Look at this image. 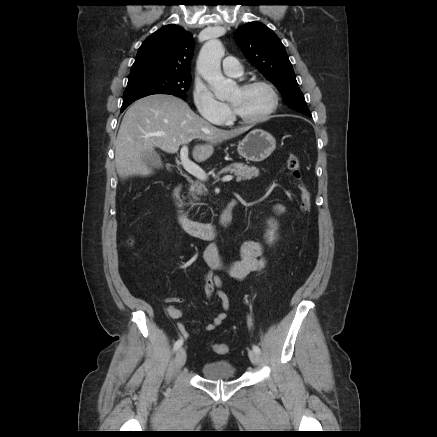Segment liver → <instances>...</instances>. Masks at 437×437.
Masks as SVG:
<instances>
[{"instance_id":"1","label":"liver","mask_w":437,"mask_h":437,"mask_svg":"<svg viewBox=\"0 0 437 437\" xmlns=\"http://www.w3.org/2000/svg\"><path fill=\"white\" fill-rule=\"evenodd\" d=\"M248 128L223 130L195 114L183 100L172 95H150L134 102L126 111L115 142V168L120 178L152 174L146 157L160 148L176 153L194 139L192 156L203 162L214 152L213 145L234 138ZM159 134V135H158Z\"/></svg>"}]
</instances>
